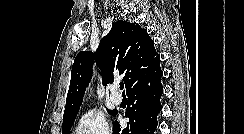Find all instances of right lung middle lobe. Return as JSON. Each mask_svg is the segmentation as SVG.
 Returning <instances> with one entry per match:
<instances>
[{"instance_id":"obj_1","label":"right lung middle lobe","mask_w":244,"mask_h":134,"mask_svg":"<svg viewBox=\"0 0 244 134\" xmlns=\"http://www.w3.org/2000/svg\"><path fill=\"white\" fill-rule=\"evenodd\" d=\"M109 114L111 115H116L117 114V110H107ZM77 115L75 116H71L68 118H63V127H62V134H69L70 129L74 123V120L76 118Z\"/></svg>"}]
</instances>
